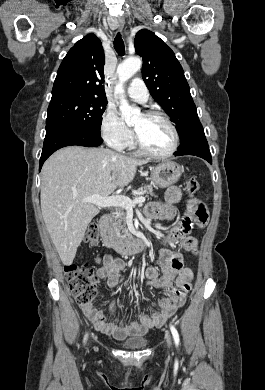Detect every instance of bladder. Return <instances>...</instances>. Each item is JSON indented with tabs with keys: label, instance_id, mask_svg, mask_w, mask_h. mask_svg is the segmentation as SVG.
<instances>
[{
	"label": "bladder",
	"instance_id": "31cf9c89",
	"mask_svg": "<svg viewBox=\"0 0 265 390\" xmlns=\"http://www.w3.org/2000/svg\"><path fill=\"white\" fill-rule=\"evenodd\" d=\"M147 343V339L143 337L127 338L122 341V345L128 349H142Z\"/></svg>",
	"mask_w": 265,
	"mask_h": 390
}]
</instances>
